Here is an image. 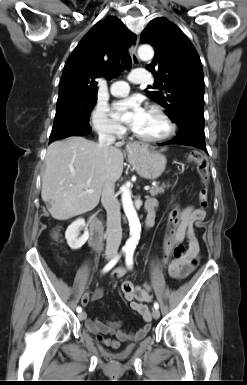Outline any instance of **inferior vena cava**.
I'll use <instances>...</instances> for the list:
<instances>
[{"label": "inferior vena cava", "mask_w": 247, "mask_h": 385, "mask_svg": "<svg viewBox=\"0 0 247 385\" xmlns=\"http://www.w3.org/2000/svg\"><path fill=\"white\" fill-rule=\"evenodd\" d=\"M115 137L108 130L99 133V144L108 149ZM115 182L108 180L102 189L101 203L107 212L106 251L107 257L117 255L122 239L120 205L114 194Z\"/></svg>", "instance_id": "obj_1"}]
</instances>
